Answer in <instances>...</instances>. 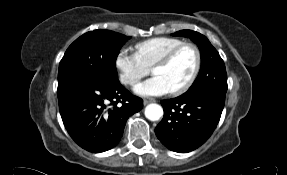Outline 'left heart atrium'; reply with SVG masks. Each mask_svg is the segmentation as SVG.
Returning <instances> with one entry per match:
<instances>
[{
    "mask_svg": "<svg viewBox=\"0 0 287 175\" xmlns=\"http://www.w3.org/2000/svg\"><path fill=\"white\" fill-rule=\"evenodd\" d=\"M134 90L137 94L143 96H158L170 92V89L163 78L156 75L147 81L138 84Z\"/></svg>",
    "mask_w": 287,
    "mask_h": 175,
    "instance_id": "39dd6f15",
    "label": "left heart atrium"
}]
</instances>
